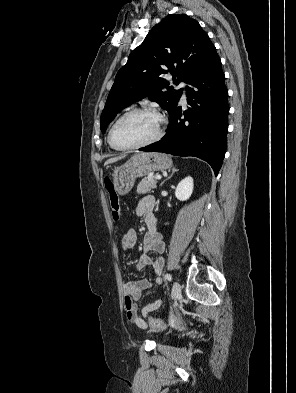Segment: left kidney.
Segmentation results:
<instances>
[{
  "instance_id": "left-kidney-1",
  "label": "left kidney",
  "mask_w": 296,
  "mask_h": 393,
  "mask_svg": "<svg viewBox=\"0 0 296 393\" xmlns=\"http://www.w3.org/2000/svg\"><path fill=\"white\" fill-rule=\"evenodd\" d=\"M193 192V178L185 177L178 185L175 191V196L180 201H186L190 198Z\"/></svg>"
}]
</instances>
